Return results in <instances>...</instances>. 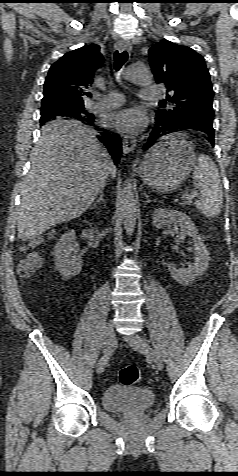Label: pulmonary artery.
I'll list each match as a JSON object with an SVG mask.
<instances>
[{"mask_svg": "<svg viewBox=\"0 0 238 476\" xmlns=\"http://www.w3.org/2000/svg\"><path fill=\"white\" fill-rule=\"evenodd\" d=\"M164 93L158 86H148L142 91L141 98L145 101H158L163 99ZM124 102V97L121 93L112 91L107 96L100 98L96 106L100 109H113Z\"/></svg>", "mask_w": 238, "mask_h": 476, "instance_id": "obj_1", "label": "pulmonary artery"}]
</instances>
